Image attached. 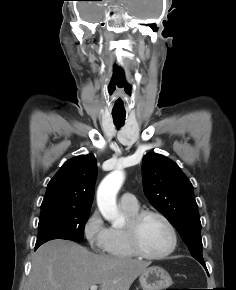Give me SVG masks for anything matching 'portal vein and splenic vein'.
<instances>
[{
	"label": "portal vein and splenic vein",
	"mask_w": 236,
	"mask_h": 290,
	"mask_svg": "<svg viewBox=\"0 0 236 290\" xmlns=\"http://www.w3.org/2000/svg\"><path fill=\"white\" fill-rule=\"evenodd\" d=\"M98 289V286L97 285H92L91 287H90V290H97Z\"/></svg>",
	"instance_id": "obj_1"
}]
</instances>
